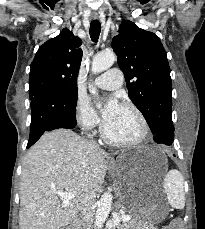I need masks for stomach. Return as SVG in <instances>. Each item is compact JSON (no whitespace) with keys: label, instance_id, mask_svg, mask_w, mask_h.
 Listing matches in <instances>:
<instances>
[{"label":"stomach","instance_id":"stomach-1","mask_svg":"<svg viewBox=\"0 0 205 229\" xmlns=\"http://www.w3.org/2000/svg\"><path fill=\"white\" fill-rule=\"evenodd\" d=\"M110 168L124 202L133 216L137 219L151 220L152 223L159 222L164 215L163 201L152 198L146 185L151 181L150 172L159 176L164 175L167 161L163 154L157 153L151 147H140L123 152L110 164ZM140 228L148 229L149 226L144 224Z\"/></svg>","mask_w":205,"mask_h":229}]
</instances>
